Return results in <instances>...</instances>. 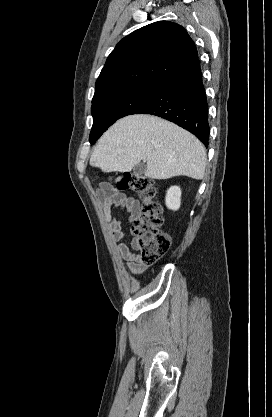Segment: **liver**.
<instances>
[{
  "mask_svg": "<svg viewBox=\"0 0 272 417\" xmlns=\"http://www.w3.org/2000/svg\"><path fill=\"white\" fill-rule=\"evenodd\" d=\"M147 162L145 176L168 179L187 176L201 180L207 155L203 144L177 125L151 115L118 120L94 148L90 164L103 172L131 171Z\"/></svg>",
  "mask_w": 272,
  "mask_h": 417,
  "instance_id": "obj_1",
  "label": "liver"
}]
</instances>
